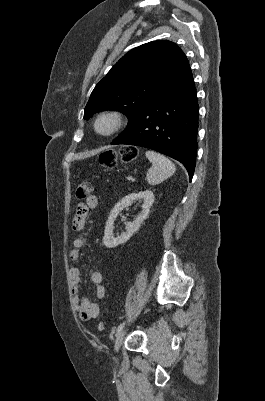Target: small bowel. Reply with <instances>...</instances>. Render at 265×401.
Returning a JSON list of instances; mask_svg holds the SVG:
<instances>
[{
	"instance_id": "c3829d8e",
	"label": "small bowel",
	"mask_w": 265,
	"mask_h": 401,
	"mask_svg": "<svg viewBox=\"0 0 265 401\" xmlns=\"http://www.w3.org/2000/svg\"><path fill=\"white\" fill-rule=\"evenodd\" d=\"M98 206V198L95 195H91L86 199L85 202L78 204L76 213L72 221V227L75 231H81L86 223L89 211ZM86 238L83 235H78L72 242V249L69 252V258L72 261H77L80 257L81 249L86 245ZM70 281L73 293L74 308L79 318L82 321H88L96 318L101 313V307L97 302L91 301L85 296L79 295L80 286V271L77 267H71L70 269ZM90 280L95 289L96 296L100 299L106 296V288L104 286V276L99 271H92L90 274Z\"/></svg>"
}]
</instances>
